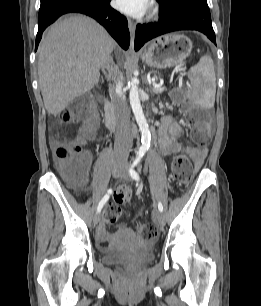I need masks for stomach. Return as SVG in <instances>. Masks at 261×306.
I'll list each match as a JSON object with an SVG mask.
<instances>
[{
  "mask_svg": "<svg viewBox=\"0 0 261 306\" xmlns=\"http://www.w3.org/2000/svg\"><path fill=\"white\" fill-rule=\"evenodd\" d=\"M192 42L182 34H167L154 39L143 51L142 60L159 69L182 63L191 53Z\"/></svg>",
  "mask_w": 261,
  "mask_h": 306,
  "instance_id": "obj_1",
  "label": "stomach"
}]
</instances>
